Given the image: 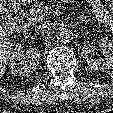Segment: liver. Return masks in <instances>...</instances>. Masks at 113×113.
<instances>
[{"instance_id": "1", "label": "liver", "mask_w": 113, "mask_h": 113, "mask_svg": "<svg viewBox=\"0 0 113 113\" xmlns=\"http://www.w3.org/2000/svg\"><path fill=\"white\" fill-rule=\"evenodd\" d=\"M3 8L0 6V76H2L6 70V67L11 62L13 55V44L7 37L9 31V22L2 16Z\"/></svg>"}]
</instances>
